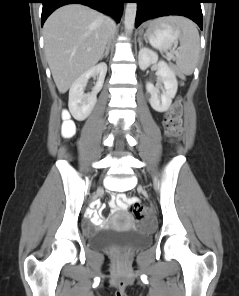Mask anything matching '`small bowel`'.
Masks as SVG:
<instances>
[{
	"mask_svg": "<svg viewBox=\"0 0 239 296\" xmlns=\"http://www.w3.org/2000/svg\"><path fill=\"white\" fill-rule=\"evenodd\" d=\"M130 201V198L124 194H119L116 197V202H111V207L115 210H123L125 209L127 202ZM90 220L94 225L100 226L103 224V218L95 211L89 212Z\"/></svg>",
	"mask_w": 239,
	"mask_h": 296,
	"instance_id": "c3829d8e",
	"label": "small bowel"
}]
</instances>
